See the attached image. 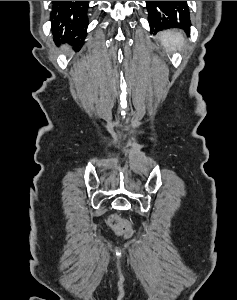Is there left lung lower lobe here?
I'll return each instance as SVG.
<instances>
[{
	"instance_id": "obj_1",
	"label": "left lung lower lobe",
	"mask_w": 237,
	"mask_h": 300,
	"mask_svg": "<svg viewBox=\"0 0 237 300\" xmlns=\"http://www.w3.org/2000/svg\"><path fill=\"white\" fill-rule=\"evenodd\" d=\"M147 2V6L148 5H153V4H156L157 1H146ZM188 32H189V29H188Z\"/></svg>"
}]
</instances>
